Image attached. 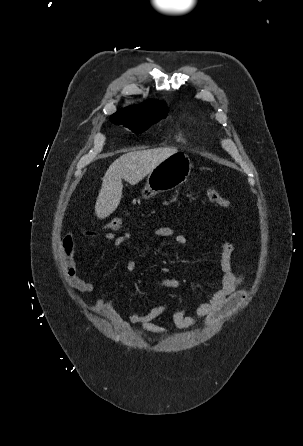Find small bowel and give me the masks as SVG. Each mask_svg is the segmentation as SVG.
<instances>
[{
  "label": "small bowel",
  "mask_w": 303,
  "mask_h": 446,
  "mask_svg": "<svg viewBox=\"0 0 303 446\" xmlns=\"http://www.w3.org/2000/svg\"><path fill=\"white\" fill-rule=\"evenodd\" d=\"M90 236V240L85 244L84 249L89 250L96 245L95 235L92 232H83ZM151 235L155 238L172 240L175 244L182 246L188 243L187 236L177 233L173 228L161 226L155 228ZM133 233L125 232L123 235L116 236L114 233H105L104 238L113 243L115 247L121 246L124 242L133 237ZM234 246L227 241L221 244L220 254V287L215 291L212 297L200 304L193 314H189V305L176 310L173 314V322L179 328H188L202 321L206 326L218 322L221 318L228 315L237 305L246 297V291L239 289L243 278L235 274L232 268V254ZM60 252L64 268V275L68 283L76 290L89 294L93 291L94 285L91 281L84 280L78 276L75 254V237L72 232L67 233L60 241ZM126 269L133 271L136 268L134 259L129 258L126 261ZM159 289H182L183 283L179 278H164L156 283ZM87 308L106 319L114 327L119 329H129L132 325L138 324L141 328L152 334L165 335L168 330L159 326L154 321L160 317L166 310L167 304H161L145 314L129 312L127 319L123 318L114 308V302L111 298L101 296L97 300L86 303Z\"/></svg>",
  "instance_id": "obj_1"
}]
</instances>
